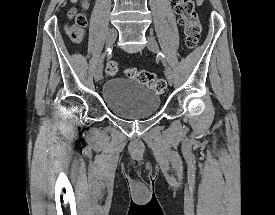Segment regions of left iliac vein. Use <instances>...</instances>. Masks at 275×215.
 Returning <instances> with one entry per match:
<instances>
[{
    "label": "left iliac vein",
    "instance_id": "obj_1",
    "mask_svg": "<svg viewBox=\"0 0 275 215\" xmlns=\"http://www.w3.org/2000/svg\"><path fill=\"white\" fill-rule=\"evenodd\" d=\"M147 47L152 52H158V50H159L158 44H157L155 38L152 36H148ZM164 64H165V76L167 78L168 83L170 85H172L173 81H174L173 72H172L171 68L166 64V62H164Z\"/></svg>",
    "mask_w": 275,
    "mask_h": 215
}]
</instances>
